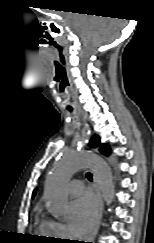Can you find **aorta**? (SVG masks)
Segmentation results:
<instances>
[{
  "instance_id": "obj_1",
  "label": "aorta",
  "mask_w": 154,
  "mask_h": 243,
  "mask_svg": "<svg viewBox=\"0 0 154 243\" xmlns=\"http://www.w3.org/2000/svg\"><path fill=\"white\" fill-rule=\"evenodd\" d=\"M93 170L104 201L109 205L114 198L112 173L107 163L84 151L64 152L49 172L45 184L48 211L56 218H63L68 208L66 187L81 168Z\"/></svg>"
}]
</instances>
